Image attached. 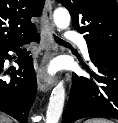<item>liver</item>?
I'll list each match as a JSON object with an SVG mask.
<instances>
[{"label": "liver", "mask_w": 118, "mask_h": 123, "mask_svg": "<svg viewBox=\"0 0 118 123\" xmlns=\"http://www.w3.org/2000/svg\"><path fill=\"white\" fill-rule=\"evenodd\" d=\"M0 123H12V120L8 116L0 113Z\"/></svg>", "instance_id": "liver-1"}]
</instances>
